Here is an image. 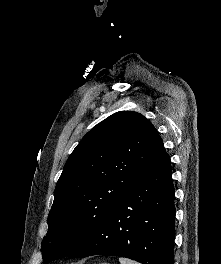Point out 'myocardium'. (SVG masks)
<instances>
[{
	"mask_svg": "<svg viewBox=\"0 0 221 264\" xmlns=\"http://www.w3.org/2000/svg\"><path fill=\"white\" fill-rule=\"evenodd\" d=\"M79 235L78 229H74L71 231V237L76 238Z\"/></svg>",
	"mask_w": 221,
	"mask_h": 264,
	"instance_id": "f54148a6",
	"label": "myocardium"
}]
</instances>
